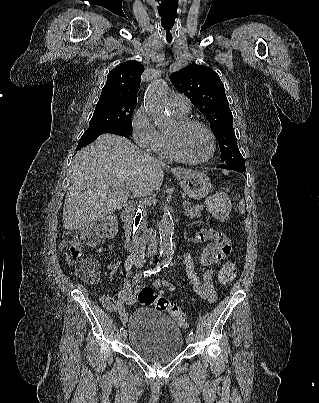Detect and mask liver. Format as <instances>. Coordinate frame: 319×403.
<instances>
[{
	"mask_svg": "<svg viewBox=\"0 0 319 403\" xmlns=\"http://www.w3.org/2000/svg\"><path fill=\"white\" fill-rule=\"evenodd\" d=\"M164 167L127 138L99 136L73 159L63 227L77 230L113 214L127 203L130 191L148 195L158 190Z\"/></svg>",
	"mask_w": 319,
	"mask_h": 403,
	"instance_id": "obj_1",
	"label": "liver"
}]
</instances>
